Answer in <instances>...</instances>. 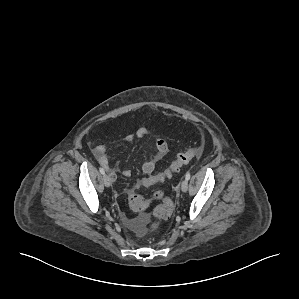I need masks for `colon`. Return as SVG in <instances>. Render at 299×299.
I'll return each mask as SVG.
<instances>
[{"label": "colon", "mask_w": 299, "mask_h": 299, "mask_svg": "<svg viewBox=\"0 0 299 299\" xmlns=\"http://www.w3.org/2000/svg\"><path fill=\"white\" fill-rule=\"evenodd\" d=\"M202 152L200 147L189 148L184 152L177 155L176 159L170 164V166L164 171L158 172L155 175H151L139 180L133 190L129 193L128 202L129 206L133 211L140 212L147 208L149 202L145 200L139 193L138 190L142 187H152L157 183L163 182L170 178L173 173L179 171L182 166L191 162L194 158L198 157ZM154 198L161 199L162 203L154 210V215L159 220L168 219L173 212V203L166 197L161 191L154 193ZM157 224L152 225L150 229L138 228L137 233L140 235L146 234L149 231L154 230Z\"/></svg>", "instance_id": "1"}]
</instances>
